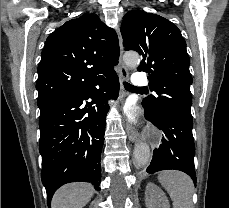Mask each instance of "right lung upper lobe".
Segmentation results:
<instances>
[{"label":"right lung upper lobe","instance_id":"1","mask_svg":"<svg viewBox=\"0 0 229 208\" xmlns=\"http://www.w3.org/2000/svg\"><path fill=\"white\" fill-rule=\"evenodd\" d=\"M119 44L97 15L67 21L50 34L38 66V104L66 101L115 74Z\"/></svg>","mask_w":229,"mask_h":208}]
</instances>
